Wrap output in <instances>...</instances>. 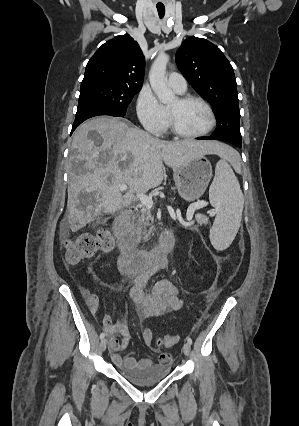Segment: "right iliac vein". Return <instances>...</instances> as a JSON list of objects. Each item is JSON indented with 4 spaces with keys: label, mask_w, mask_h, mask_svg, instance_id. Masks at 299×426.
Returning a JSON list of instances; mask_svg holds the SVG:
<instances>
[{
    "label": "right iliac vein",
    "mask_w": 299,
    "mask_h": 426,
    "mask_svg": "<svg viewBox=\"0 0 299 426\" xmlns=\"http://www.w3.org/2000/svg\"><path fill=\"white\" fill-rule=\"evenodd\" d=\"M107 346V340L106 339H102V341L100 342V349L101 351H105Z\"/></svg>",
    "instance_id": "1"
}]
</instances>
